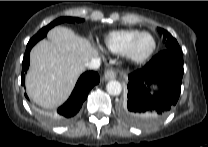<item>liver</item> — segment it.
Segmentation results:
<instances>
[{
  "label": "liver",
  "mask_w": 208,
  "mask_h": 147,
  "mask_svg": "<svg viewBox=\"0 0 208 147\" xmlns=\"http://www.w3.org/2000/svg\"><path fill=\"white\" fill-rule=\"evenodd\" d=\"M98 57V51L86 38L57 26L31 50L26 77L29 97L39 106L55 108L70 95L85 63Z\"/></svg>",
  "instance_id": "1"
}]
</instances>
